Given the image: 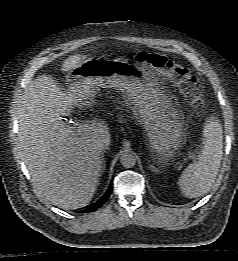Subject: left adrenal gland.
<instances>
[{"instance_id": "1", "label": "left adrenal gland", "mask_w": 238, "mask_h": 261, "mask_svg": "<svg viewBox=\"0 0 238 261\" xmlns=\"http://www.w3.org/2000/svg\"><path fill=\"white\" fill-rule=\"evenodd\" d=\"M150 167L153 171H157V169L154 166L150 165Z\"/></svg>"}]
</instances>
